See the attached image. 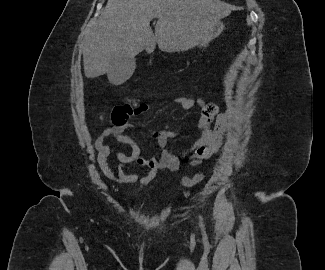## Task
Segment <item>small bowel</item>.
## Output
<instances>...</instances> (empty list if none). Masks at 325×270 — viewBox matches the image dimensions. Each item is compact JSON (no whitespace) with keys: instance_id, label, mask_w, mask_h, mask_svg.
Returning a JSON list of instances; mask_svg holds the SVG:
<instances>
[{"instance_id":"1","label":"small bowel","mask_w":325,"mask_h":270,"mask_svg":"<svg viewBox=\"0 0 325 270\" xmlns=\"http://www.w3.org/2000/svg\"><path fill=\"white\" fill-rule=\"evenodd\" d=\"M153 97L155 98V96ZM174 101L185 112L190 111L194 106V101L187 96H177ZM197 102L201 106V116L195 127L199 137L180 155H175L167 149V146L171 140L179 136L178 132L167 127L159 131L147 130V133L156 140L160 148L159 156L150 157L142 155L139 145L130 136L123 133L129 126L128 121L131 120V116H139L147 111L148 99L146 103H117L112 115L114 125L104 129L95 140L98 161L103 174L120 184L133 185L140 181L141 184L147 185L161 170H178L183 157L189 156L193 165L210 159L219 151L223 143L227 129V114L219 113V106L215 103L206 102L202 98H199ZM215 117V129L211 130L210 125ZM108 138H114L118 143L128 145L130 152L119 151L106 144L105 140ZM111 155H115L119 161L116 175L110 162ZM132 163L145 168L146 175L139 178L137 174L126 173V166Z\"/></svg>"}]
</instances>
